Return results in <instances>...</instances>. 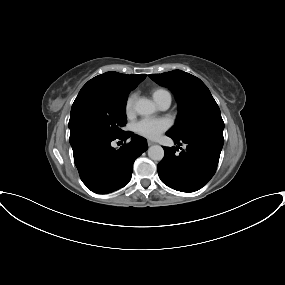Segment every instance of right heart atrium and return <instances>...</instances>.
I'll list each match as a JSON object with an SVG mask.
<instances>
[{
  "label": "right heart atrium",
  "instance_id": "1",
  "mask_svg": "<svg viewBox=\"0 0 285 285\" xmlns=\"http://www.w3.org/2000/svg\"><path fill=\"white\" fill-rule=\"evenodd\" d=\"M136 95L130 94L125 103V112L127 116H131L134 113V104H135Z\"/></svg>",
  "mask_w": 285,
  "mask_h": 285
}]
</instances>
